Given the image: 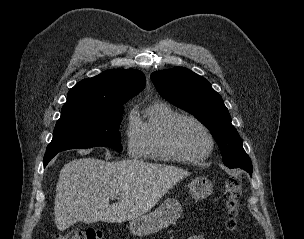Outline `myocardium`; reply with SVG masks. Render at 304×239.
I'll use <instances>...</instances> for the list:
<instances>
[{
	"instance_id": "f54148a6",
	"label": "myocardium",
	"mask_w": 304,
	"mask_h": 239,
	"mask_svg": "<svg viewBox=\"0 0 304 239\" xmlns=\"http://www.w3.org/2000/svg\"><path fill=\"white\" fill-rule=\"evenodd\" d=\"M184 121H191L197 124L206 134L208 138V148L201 154H188L185 153L178 145L176 140V132L178 127L181 123ZM165 145L168 151L173 154L177 160L183 161V162H198L206 159L211 155V153L214 150L215 147V140L214 136L209 129V127L201 121L199 118L193 116V115H179L175 119H173L170 124L168 125L165 133Z\"/></svg>"
}]
</instances>
